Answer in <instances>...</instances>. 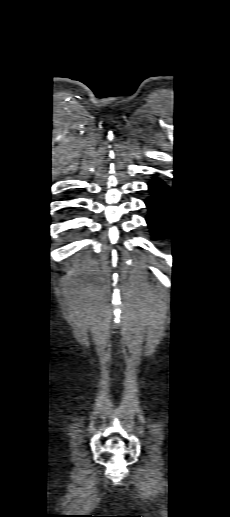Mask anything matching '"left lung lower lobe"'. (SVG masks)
Returning <instances> with one entry per match:
<instances>
[{
    "label": "left lung lower lobe",
    "mask_w": 230,
    "mask_h": 517,
    "mask_svg": "<svg viewBox=\"0 0 230 517\" xmlns=\"http://www.w3.org/2000/svg\"><path fill=\"white\" fill-rule=\"evenodd\" d=\"M152 196L145 201L149 210L146 219L155 238L169 237L171 233V189L161 180L149 183Z\"/></svg>",
    "instance_id": "0a47b994"
}]
</instances>
